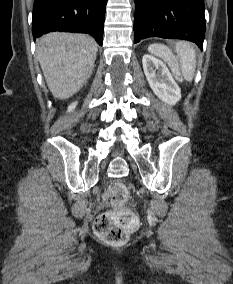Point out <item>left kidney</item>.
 <instances>
[{
	"instance_id": "1",
	"label": "left kidney",
	"mask_w": 233,
	"mask_h": 284,
	"mask_svg": "<svg viewBox=\"0 0 233 284\" xmlns=\"http://www.w3.org/2000/svg\"><path fill=\"white\" fill-rule=\"evenodd\" d=\"M142 64L147 81L155 95L168 105H175L181 99V90L167 66L150 54L143 56Z\"/></svg>"
}]
</instances>
